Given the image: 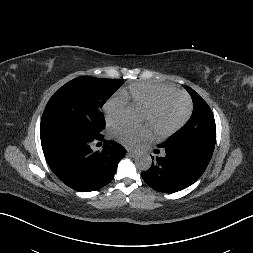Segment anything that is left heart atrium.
Listing matches in <instances>:
<instances>
[{"label":"left heart atrium","mask_w":253,"mask_h":253,"mask_svg":"<svg viewBox=\"0 0 253 253\" xmlns=\"http://www.w3.org/2000/svg\"><path fill=\"white\" fill-rule=\"evenodd\" d=\"M113 137L126 146H136L139 142L151 137L152 131L149 126L140 127L116 126L112 129Z\"/></svg>","instance_id":"39dd6f15"}]
</instances>
